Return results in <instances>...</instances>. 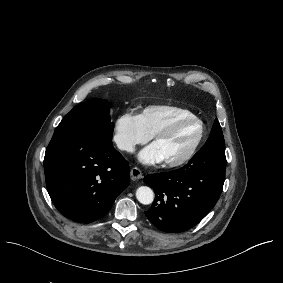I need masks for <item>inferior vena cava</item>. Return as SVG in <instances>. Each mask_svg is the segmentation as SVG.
I'll use <instances>...</instances> for the list:
<instances>
[{"mask_svg":"<svg viewBox=\"0 0 283 283\" xmlns=\"http://www.w3.org/2000/svg\"><path fill=\"white\" fill-rule=\"evenodd\" d=\"M122 150L131 151V150H133V146L130 145V144H126V145L123 146Z\"/></svg>","mask_w":283,"mask_h":283,"instance_id":"1","label":"inferior vena cava"}]
</instances>
